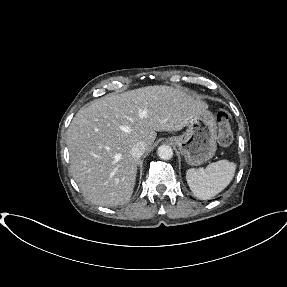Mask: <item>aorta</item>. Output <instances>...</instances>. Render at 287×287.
<instances>
[{
	"mask_svg": "<svg viewBox=\"0 0 287 287\" xmlns=\"http://www.w3.org/2000/svg\"><path fill=\"white\" fill-rule=\"evenodd\" d=\"M158 156L162 160H169L173 157V150L168 145H161L158 148Z\"/></svg>",
	"mask_w": 287,
	"mask_h": 287,
	"instance_id": "obj_1",
	"label": "aorta"
}]
</instances>
